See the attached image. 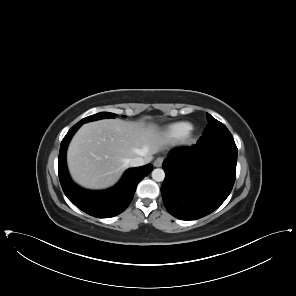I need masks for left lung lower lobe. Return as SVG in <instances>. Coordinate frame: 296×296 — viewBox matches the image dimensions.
I'll return each mask as SVG.
<instances>
[{
    "label": "left lung lower lobe",
    "mask_w": 296,
    "mask_h": 296,
    "mask_svg": "<svg viewBox=\"0 0 296 296\" xmlns=\"http://www.w3.org/2000/svg\"><path fill=\"white\" fill-rule=\"evenodd\" d=\"M237 147L196 145L170 151L162 166L164 205L174 217L196 220L216 210L230 194L236 177Z\"/></svg>",
    "instance_id": "obj_1"
}]
</instances>
